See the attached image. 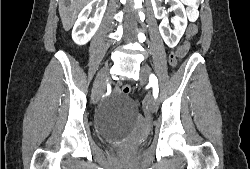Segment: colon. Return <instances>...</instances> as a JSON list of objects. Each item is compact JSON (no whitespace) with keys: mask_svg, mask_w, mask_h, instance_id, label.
I'll use <instances>...</instances> for the list:
<instances>
[{"mask_svg":"<svg viewBox=\"0 0 250 169\" xmlns=\"http://www.w3.org/2000/svg\"><path fill=\"white\" fill-rule=\"evenodd\" d=\"M188 30H187V34H186V37L187 38H193V36L196 35L197 33V28H198V23H188ZM64 43H69V38H64ZM178 49L177 50H174L172 51L170 54H167V59H170L169 61V66H176L177 64V61H178V57L181 55V54H178ZM131 90V85H123L122 89H121V92L122 93H129ZM136 101L138 100L137 98L135 99Z\"/></svg>","mask_w":250,"mask_h":169,"instance_id":"obj_1","label":"colon"}]
</instances>
